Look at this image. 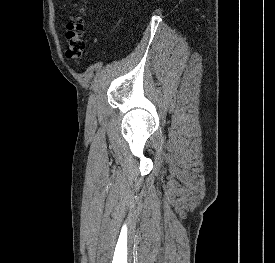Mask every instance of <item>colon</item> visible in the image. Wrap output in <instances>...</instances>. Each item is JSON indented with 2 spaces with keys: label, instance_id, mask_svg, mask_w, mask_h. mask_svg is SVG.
Here are the masks:
<instances>
[{
  "label": "colon",
  "instance_id": "1",
  "mask_svg": "<svg viewBox=\"0 0 275 263\" xmlns=\"http://www.w3.org/2000/svg\"><path fill=\"white\" fill-rule=\"evenodd\" d=\"M85 0L78 1L76 5V14L71 17L66 25L67 28V58L80 63L85 57L87 51V41L85 40Z\"/></svg>",
  "mask_w": 275,
  "mask_h": 263
}]
</instances>
